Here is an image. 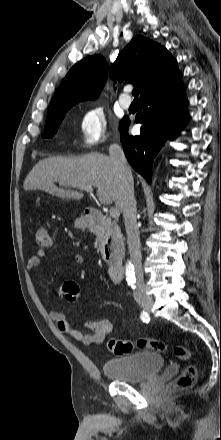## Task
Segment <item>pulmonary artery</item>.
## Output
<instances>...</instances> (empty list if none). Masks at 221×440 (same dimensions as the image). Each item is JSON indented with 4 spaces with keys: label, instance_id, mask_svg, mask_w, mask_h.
<instances>
[{
    "label": "pulmonary artery",
    "instance_id": "1",
    "mask_svg": "<svg viewBox=\"0 0 221 440\" xmlns=\"http://www.w3.org/2000/svg\"><path fill=\"white\" fill-rule=\"evenodd\" d=\"M128 92H129V89L126 88L124 93L121 95V97L119 99V103H120L121 107L124 109H128L132 103V100H131L130 96L128 95Z\"/></svg>",
    "mask_w": 221,
    "mask_h": 440
}]
</instances>
